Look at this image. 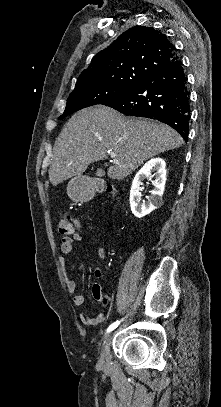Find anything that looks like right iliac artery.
<instances>
[{
  "instance_id": "obj_1",
  "label": "right iliac artery",
  "mask_w": 221,
  "mask_h": 407,
  "mask_svg": "<svg viewBox=\"0 0 221 407\" xmlns=\"http://www.w3.org/2000/svg\"><path fill=\"white\" fill-rule=\"evenodd\" d=\"M120 324V321H116L113 324H111L108 329H107V333L111 332L112 330H114L115 328L118 327V325Z\"/></svg>"
}]
</instances>
